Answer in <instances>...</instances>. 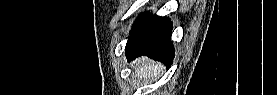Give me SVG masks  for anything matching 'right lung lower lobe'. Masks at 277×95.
I'll list each match as a JSON object with an SVG mask.
<instances>
[{
  "label": "right lung lower lobe",
  "instance_id": "right-lung-lower-lobe-1",
  "mask_svg": "<svg viewBox=\"0 0 277 95\" xmlns=\"http://www.w3.org/2000/svg\"><path fill=\"white\" fill-rule=\"evenodd\" d=\"M172 22L167 17L142 13L130 32L125 53L128 61L146 55L169 68L174 58Z\"/></svg>",
  "mask_w": 277,
  "mask_h": 95
}]
</instances>
